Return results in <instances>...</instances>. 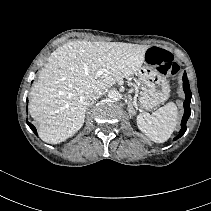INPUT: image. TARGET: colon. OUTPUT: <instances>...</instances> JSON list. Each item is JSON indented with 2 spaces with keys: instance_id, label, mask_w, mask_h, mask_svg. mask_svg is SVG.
<instances>
[{
  "instance_id": "5ec220e1",
  "label": "colon",
  "mask_w": 211,
  "mask_h": 211,
  "mask_svg": "<svg viewBox=\"0 0 211 211\" xmlns=\"http://www.w3.org/2000/svg\"><path fill=\"white\" fill-rule=\"evenodd\" d=\"M147 61L164 75L174 76L179 70L178 64L167 50L153 47L147 51Z\"/></svg>"
}]
</instances>
